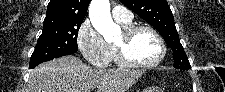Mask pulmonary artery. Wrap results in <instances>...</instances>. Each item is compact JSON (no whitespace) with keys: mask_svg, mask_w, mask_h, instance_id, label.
Returning a JSON list of instances; mask_svg holds the SVG:
<instances>
[{"mask_svg":"<svg viewBox=\"0 0 225 92\" xmlns=\"http://www.w3.org/2000/svg\"><path fill=\"white\" fill-rule=\"evenodd\" d=\"M112 16L113 19L119 23H130L133 20V14L123 6L113 7Z\"/></svg>","mask_w":225,"mask_h":92,"instance_id":"obj_1","label":"pulmonary artery"}]
</instances>
